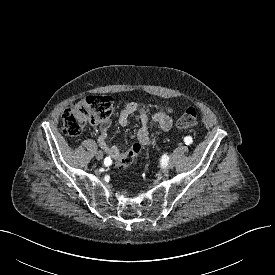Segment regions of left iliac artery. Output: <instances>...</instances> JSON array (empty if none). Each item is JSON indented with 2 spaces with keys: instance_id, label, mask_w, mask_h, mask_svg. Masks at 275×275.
Returning a JSON list of instances; mask_svg holds the SVG:
<instances>
[{
  "instance_id": "obj_1",
  "label": "left iliac artery",
  "mask_w": 275,
  "mask_h": 275,
  "mask_svg": "<svg viewBox=\"0 0 275 275\" xmlns=\"http://www.w3.org/2000/svg\"><path fill=\"white\" fill-rule=\"evenodd\" d=\"M192 142H193V139H192L191 136H186V137L184 138V143H185L186 145H190V144H192Z\"/></svg>"
}]
</instances>
